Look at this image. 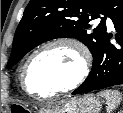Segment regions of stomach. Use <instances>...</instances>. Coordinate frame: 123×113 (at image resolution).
Segmentation results:
<instances>
[{
  "label": "stomach",
  "instance_id": "1",
  "mask_svg": "<svg viewBox=\"0 0 123 113\" xmlns=\"http://www.w3.org/2000/svg\"><path fill=\"white\" fill-rule=\"evenodd\" d=\"M102 103L103 101L99 95L89 94L60 102L41 110L40 113H99Z\"/></svg>",
  "mask_w": 123,
  "mask_h": 113
}]
</instances>
